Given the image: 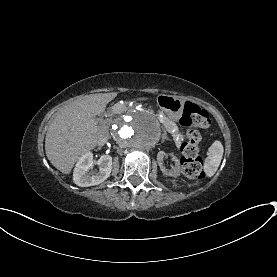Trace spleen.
<instances>
[{
	"label": "spleen",
	"mask_w": 277,
	"mask_h": 277,
	"mask_svg": "<svg viewBox=\"0 0 277 277\" xmlns=\"http://www.w3.org/2000/svg\"><path fill=\"white\" fill-rule=\"evenodd\" d=\"M224 148L221 141L216 140L212 143L208 150V157L204 161L203 170L207 177H212L220 163L223 157Z\"/></svg>",
	"instance_id": "1"
}]
</instances>
